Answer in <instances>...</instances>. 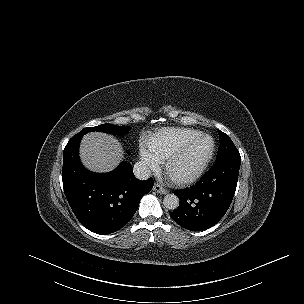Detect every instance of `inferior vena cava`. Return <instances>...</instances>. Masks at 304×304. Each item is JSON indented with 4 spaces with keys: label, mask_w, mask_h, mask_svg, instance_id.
<instances>
[{
    "label": "inferior vena cava",
    "mask_w": 304,
    "mask_h": 304,
    "mask_svg": "<svg viewBox=\"0 0 304 304\" xmlns=\"http://www.w3.org/2000/svg\"><path fill=\"white\" fill-rule=\"evenodd\" d=\"M133 172L136 178L140 180H146L151 176L150 168L143 162L135 163L133 167Z\"/></svg>",
    "instance_id": "obj_1"
}]
</instances>
